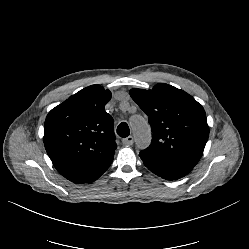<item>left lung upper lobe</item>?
Returning <instances> with one entry per match:
<instances>
[{"mask_svg":"<svg viewBox=\"0 0 249 249\" xmlns=\"http://www.w3.org/2000/svg\"><path fill=\"white\" fill-rule=\"evenodd\" d=\"M130 96L148 115L153 133L150 146L140 156L193 168L209 136L201 104L185 91L164 83L152 90L134 88Z\"/></svg>","mask_w":249,"mask_h":249,"instance_id":"left-lung-upper-lobe-1","label":"left lung upper lobe"}]
</instances>
